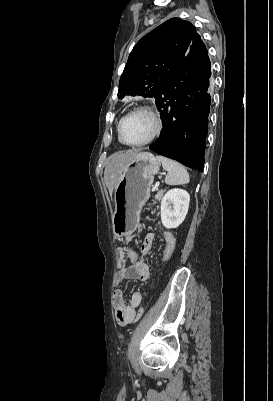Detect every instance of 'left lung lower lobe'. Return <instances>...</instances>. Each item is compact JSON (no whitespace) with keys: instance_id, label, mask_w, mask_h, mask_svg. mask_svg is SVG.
<instances>
[{"instance_id":"0a47b994","label":"left lung lower lobe","mask_w":273,"mask_h":401,"mask_svg":"<svg viewBox=\"0 0 273 401\" xmlns=\"http://www.w3.org/2000/svg\"><path fill=\"white\" fill-rule=\"evenodd\" d=\"M211 63L200 36L155 98L163 122L155 153L202 172L211 98Z\"/></svg>"}]
</instances>
